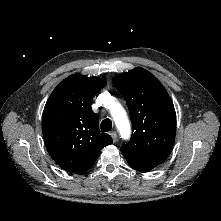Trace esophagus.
<instances>
[{"label":"esophagus","instance_id":"34e87169","mask_svg":"<svg viewBox=\"0 0 221 221\" xmlns=\"http://www.w3.org/2000/svg\"><path fill=\"white\" fill-rule=\"evenodd\" d=\"M110 135H111L113 141L116 142L117 141V133L115 131H112V132H110Z\"/></svg>","mask_w":221,"mask_h":221}]
</instances>
